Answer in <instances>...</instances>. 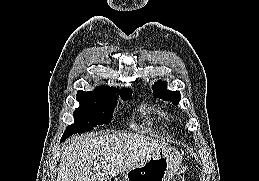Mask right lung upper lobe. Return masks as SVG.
<instances>
[{
    "mask_svg": "<svg viewBox=\"0 0 259 181\" xmlns=\"http://www.w3.org/2000/svg\"><path fill=\"white\" fill-rule=\"evenodd\" d=\"M117 92L120 94V96L122 98L130 96L132 93L129 88L128 89L123 88L121 90H117L115 88L102 86V87H98L94 91H90V92H85V91L80 90V91H78L77 95H89V96L104 97V98H116Z\"/></svg>",
    "mask_w": 259,
    "mask_h": 181,
    "instance_id": "1",
    "label": "right lung upper lobe"
}]
</instances>
